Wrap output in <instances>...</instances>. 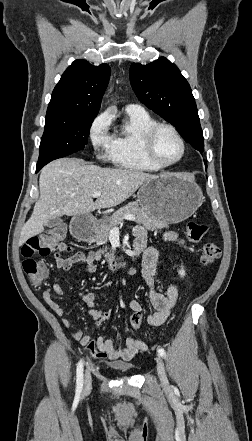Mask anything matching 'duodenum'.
I'll list each match as a JSON object with an SVG mask.
<instances>
[{
    "instance_id": "410a0bca",
    "label": "duodenum",
    "mask_w": 252,
    "mask_h": 441,
    "mask_svg": "<svg viewBox=\"0 0 252 441\" xmlns=\"http://www.w3.org/2000/svg\"><path fill=\"white\" fill-rule=\"evenodd\" d=\"M93 219H78L71 224V232L73 236L79 240H90L94 236ZM142 251L141 247H135V255ZM111 268L115 269L121 265L120 262L112 260L110 262Z\"/></svg>"
}]
</instances>
